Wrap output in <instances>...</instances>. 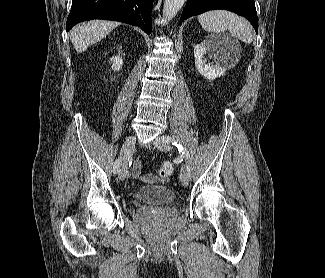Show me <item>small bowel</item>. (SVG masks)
<instances>
[{
  "label": "small bowel",
  "instance_id": "obj_1",
  "mask_svg": "<svg viewBox=\"0 0 325 278\" xmlns=\"http://www.w3.org/2000/svg\"><path fill=\"white\" fill-rule=\"evenodd\" d=\"M140 171H141L140 162L139 160H135L132 166V175L134 177H140Z\"/></svg>",
  "mask_w": 325,
  "mask_h": 278
}]
</instances>
